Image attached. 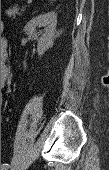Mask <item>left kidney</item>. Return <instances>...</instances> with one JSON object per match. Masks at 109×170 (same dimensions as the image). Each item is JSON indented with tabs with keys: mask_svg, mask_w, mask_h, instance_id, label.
<instances>
[{
	"mask_svg": "<svg viewBox=\"0 0 109 170\" xmlns=\"http://www.w3.org/2000/svg\"><path fill=\"white\" fill-rule=\"evenodd\" d=\"M57 25V14L48 12L32 18L24 27L27 35L39 38L37 45L38 55H43L53 45ZM37 27H44L43 33H37ZM41 35V36H40Z\"/></svg>",
	"mask_w": 109,
	"mask_h": 170,
	"instance_id": "1",
	"label": "left kidney"
}]
</instances>
